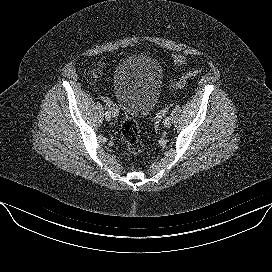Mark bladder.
<instances>
[{"mask_svg":"<svg viewBox=\"0 0 272 272\" xmlns=\"http://www.w3.org/2000/svg\"><path fill=\"white\" fill-rule=\"evenodd\" d=\"M163 85V71L153 57L134 55L118 64L113 77L116 99L130 117L149 114Z\"/></svg>","mask_w":272,"mask_h":272,"instance_id":"obj_1","label":"bladder"}]
</instances>
